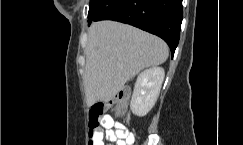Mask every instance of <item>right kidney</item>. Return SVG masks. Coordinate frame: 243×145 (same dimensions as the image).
I'll return each mask as SVG.
<instances>
[{
  "instance_id": "right-kidney-1",
  "label": "right kidney",
  "mask_w": 243,
  "mask_h": 145,
  "mask_svg": "<svg viewBox=\"0 0 243 145\" xmlns=\"http://www.w3.org/2000/svg\"><path fill=\"white\" fill-rule=\"evenodd\" d=\"M165 72L161 67L144 70L137 77L132 94L130 109L137 116H145L155 105L164 81Z\"/></svg>"
}]
</instances>
